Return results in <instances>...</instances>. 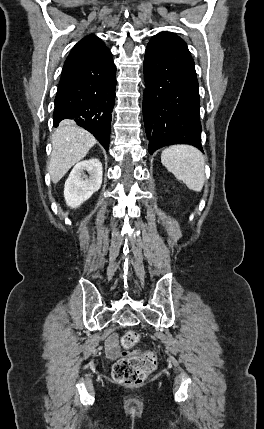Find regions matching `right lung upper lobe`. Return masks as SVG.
Instances as JSON below:
<instances>
[{
    "label": "right lung upper lobe",
    "mask_w": 264,
    "mask_h": 429,
    "mask_svg": "<svg viewBox=\"0 0 264 429\" xmlns=\"http://www.w3.org/2000/svg\"><path fill=\"white\" fill-rule=\"evenodd\" d=\"M108 48L101 39L89 35L79 41L67 57L63 72H66L106 51ZM62 72V73H63Z\"/></svg>",
    "instance_id": "1"
}]
</instances>
